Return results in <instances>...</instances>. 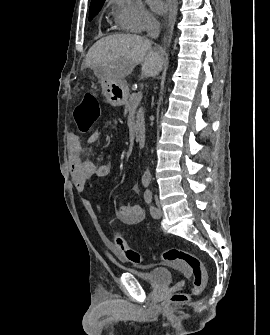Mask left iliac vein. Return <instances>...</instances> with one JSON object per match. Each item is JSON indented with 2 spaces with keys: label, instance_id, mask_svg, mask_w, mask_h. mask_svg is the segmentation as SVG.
Segmentation results:
<instances>
[{
  "label": "left iliac vein",
  "instance_id": "4c4485c4",
  "mask_svg": "<svg viewBox=\"0 0 270 335\" xmlns=\"http://www.w3.org/2000/svg\"><path fill=\"white\" fill-rule=\"evenodd\" d=\"M155 202H156V210H157V213L156 215L154 216V218H160L162 216V210H161V205H160V201L158 199L157 196H155Z\"/></svg>",
  "mask_w": 270,
  "mask_h": 335
}]
</instances>
